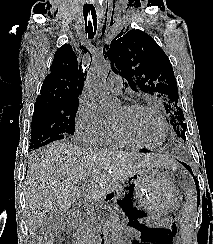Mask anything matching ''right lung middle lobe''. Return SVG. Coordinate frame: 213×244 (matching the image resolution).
<instances>
[{
    "label": "right lung middle lobe",
    "mask_w": 213,
    "mask_h": 244,
    "mask_svg": "<svg viewBox=\"0 0 213 244\" xmlns=\"http://www.w3.org/2000/svg\"><path fill=\"white\" fill-rule=\"evenodd\" d=\"M78 105L79 100H36L31 124L30 149L58 135L70 138L75 131Z\"/></svg>",
    "instance_id": "obj_1"
}]
</instances>
